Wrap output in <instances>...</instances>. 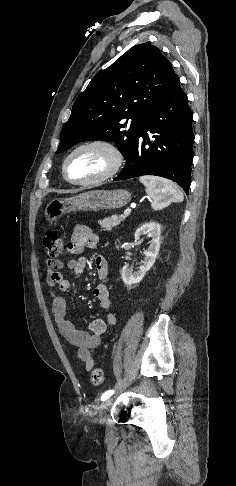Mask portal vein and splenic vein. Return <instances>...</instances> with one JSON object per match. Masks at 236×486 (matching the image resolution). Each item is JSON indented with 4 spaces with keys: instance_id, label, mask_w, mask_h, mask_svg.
I'll return each instance as SVG.
<instances>
[{
    "instance_id": "obj_1",
    "label": "portal vein and splenic vein",
    "mask_w": 236,
    "mask_h": 486,
    "mask_svg": "<svg viewBox=\"0 0 236 486\" xmlns=\"http://www.w3.org/2000/svg\"><path fill=\"white\" fill-rule=\"evenodd\" d=\"M130 212H131V209H129V208L125 209V211H124V215H129V214H130Z\"/></svg>"
}]
</instances>
